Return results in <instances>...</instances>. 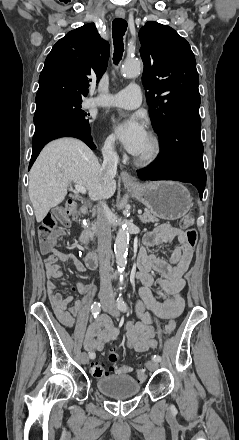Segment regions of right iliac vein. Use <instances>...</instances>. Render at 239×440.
I'll return each instance as SVG.
<instances>
[{
    "instance_id": "obj_1",
    "label": "right iliac vein",
    "mask_w": 239,
    "mask_h": 440,
    "mask_svg": "<svg viewBox=\"0 0 239 440\" xmlns=\"http://www.w3.org/2000/svg\"><path fill=\"white\" fill-rule=\"evenodd\" d=\"M102 307L106 311L109 307V303L106 301H102ZM80 361L82 364H87L89 362V356L86 352H82L80 355Z\"/></svg>"
}]
</instances>
